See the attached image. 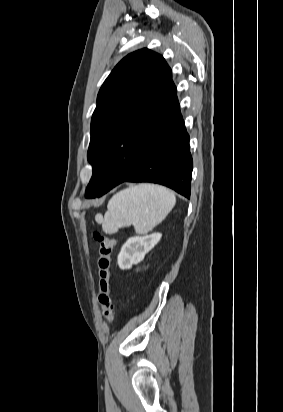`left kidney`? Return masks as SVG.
Returning a JSON list of instances; mask_svg holds the SVG:
<instances>
[{"mask_svg": "<svg viewBox=\"0 0 283 412\" xmlns=\"http://www.w3.org/2000/svg\"><path fill=\"white\" fill-rule=\"evenodd\" d=\"M161 237V233H152L129 238L118 255L117 262L120 269L127 270L132 265L140 263L145 255L160 241Z\"/></svg>", "mask_w": 283, "mask_h": 412, "instance_id": "obj_1", "label": "left kidney"}]
</instances>
